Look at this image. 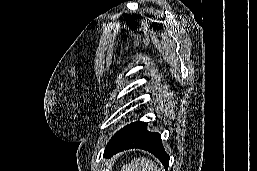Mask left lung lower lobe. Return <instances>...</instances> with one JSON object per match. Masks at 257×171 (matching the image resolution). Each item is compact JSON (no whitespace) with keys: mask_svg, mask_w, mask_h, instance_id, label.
I'll return each mask as SVG.
<instances>
[{"mask_svg":"<svg viewBox=\"0 0 257 171\" xmlns=\"http://www.w3.org/2000/svg\"><path fill=\"white\" fill-rule=\"evenodd\" d=\"M132 148L149 151L162 162L167 170L169 155L162 146L161 135L147 131V125L144 122L131 123L117 137L110 140L105 148L104 156L109 158L118 152Z\"/></svg>","mask_w":257,"mask_h":171,"instance_id":"1","label":"left lung lower lobe"}]
</instances>
